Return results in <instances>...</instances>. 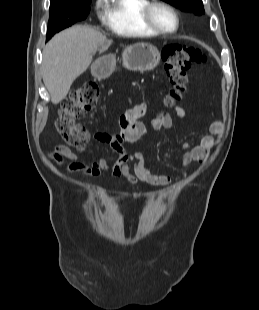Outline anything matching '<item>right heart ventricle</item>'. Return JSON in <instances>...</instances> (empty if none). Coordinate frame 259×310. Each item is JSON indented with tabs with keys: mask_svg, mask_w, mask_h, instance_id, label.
<instances>
[{
	"mask_svg": "<svg viewBox=\"0 0 259 310\" xmlns=\"http://www.w3.org/2000/svg\"><path fill=\"white\" fill-rule=\"evenodd\" d=\"M149 0H109L105 25L112 32L126 37H154L141 18L142 10Z\"/></svg>",
	"mask_w": 259,
	"mask_h": 310,
	"instance_id": "obj_1",
	"label": "right heart ventricle"
}]
</instances>
